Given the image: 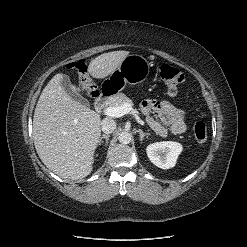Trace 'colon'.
<instances>
[{
  "mask_svg": "<svg viewBox=\"0 0 247 247\" xmlns=\"http://www.w3.org/2000/svg\"><path fill=\"white\" fill-rule=\"evenodd\" d=\"M69 67L76 70L81 79V84L84 91L88 95H94V89L87 75V63L85 60H78L70 63ZM158 76L167 87V93L170 97L177 95L180 85L184 82V75L181 71L169 64H162L158 68ZM193 134L196 142L203 145L207 141L208 132L207 125L203 121H198L193 128Z\"/></svg>",
  "mask_w": 247,
  "mask_h": 247,
  "instance_id": "obj_1",
  "label": "colon"
}]
</instances>
